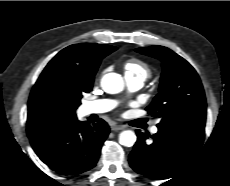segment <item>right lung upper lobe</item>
Here are the masks:
<instances>
[{
    "instance_id": "obj_1",
    "label": "right lung upper lobe",
    "mask_w": 230,
    "mask_h": 186,
    "mask_svg": "<svg viewBox=\"0 0 230 186\" xmlns=\"http://www.w3.org/2000/svg\"><path fill=\"white\" fill-rule=\"evenodd\" d=\"M115 48L94 43L74 44L60 51L47 64L28 101L29 139L77 120L75 110L78 106L71 96L73 86L78 81L93 80L100 61Z\"/></svg>"
}]
</instances>
